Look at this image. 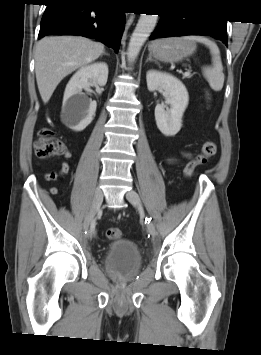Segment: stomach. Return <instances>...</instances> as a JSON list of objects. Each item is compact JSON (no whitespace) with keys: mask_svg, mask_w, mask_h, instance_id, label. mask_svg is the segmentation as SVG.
<instances>
[{"mask_svg":"<svg viewBox=\"0 0 261 355\" xmlns=\"http://www.w3.org/2000/svg\"><path fill=\"white\" fill-rule=\"evenodd\" d=\"M196 44L185 38H165L153 41L149 46L150 55L162 62H178L193 54Z\"/></svg>","mask_w":261,"mask_h":355,"instance_id":"obj_1","label":"stomach"}]
</instances>
